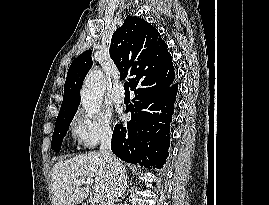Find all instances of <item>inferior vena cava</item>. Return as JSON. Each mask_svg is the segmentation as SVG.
Segmentation results:
<instances>
[{
	"label": "inferior vena cava",
	"instance_id": "inferior-vena-cava-1",
	"mask_svg": "<svg viewBox=\"0 0 269 205\" xmlns=\"http://www.w3.org/2000/svg\"><path fill=\"white\" fill-rule=\"evenodd\" d=\"M111 140L112 131L108 130L101 139L100 154L104 157L111 170L112 179L103 205H117L118 199L123 196L127 186L125 167L123 163L113 155Z\"/></svg>",
	"mask_w": 269,
	"mask_h": 205
}]
</instances>
